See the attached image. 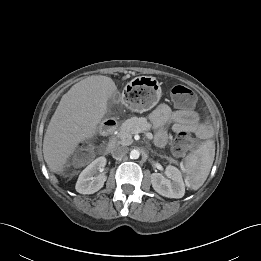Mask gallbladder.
<instances>
[{
	"instance_id": "obj_1",
	"label": "gallbladder",
	"mask_w": 261,
	"mask_h": 261,
	"mask_svg": "<svg viewBox=\"0 0 261 261\" xmlns=\"http://www.w3.org/2000/svg\"><path fill=\"white\" fill-rule=\"evenodd\" d=\"M119 99H120V94L119 93H115L113 94L110 98H109V101H108V104L110 106H112L113 104H116L119 102Z\"/></svg>"
}]
</instances>
